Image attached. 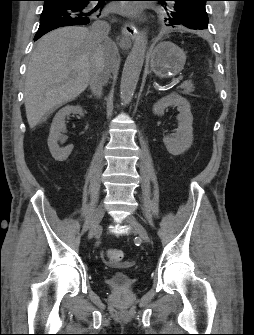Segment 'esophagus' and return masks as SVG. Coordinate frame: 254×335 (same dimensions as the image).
Wrapping results in <instances>:
<instances>
[{
  "instance_id": "esophagus-1",
  "label": "esophagus",
  "mask_w": 254,
  "mask_h": 335,
  "mask_svg": "<svg viewBox=\"0 0 254 335\" xmlns=\"http://www.w3.org/2000/svg\"><path fill=\"white\" fill-rule=\"evenodd\" d=\"M122 35L120 37L119 45L122 49H129L131 41L138 34L136 25L132 22H125L121 28Z\"/></svg>"
}]
</instances>
